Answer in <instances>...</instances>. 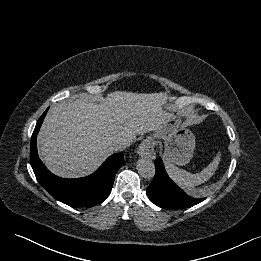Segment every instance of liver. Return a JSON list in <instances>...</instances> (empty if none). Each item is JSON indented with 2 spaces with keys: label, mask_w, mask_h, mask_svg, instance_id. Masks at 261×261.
Listing matches in <instances>:
<instances>
[{
  "label": "liver",
  "mask_w": 261,
  "mask_h": 261,
  "mask_svg": "<svg viewBox=\"0 0 261 261\" xmlns=\"http://www.w3.org/2000/svg\"><path fill=\"white\" fill-rule=\"evenodd\" d=\"M165 93L115 91L102 98L56 104L38 135V152L54 174L76 178L95 171L115 150L116 140L131 145L137 135L155 132L168 118Z\"/></svg>",
  "instance_id": "6515ba94"
}]
</instances>
